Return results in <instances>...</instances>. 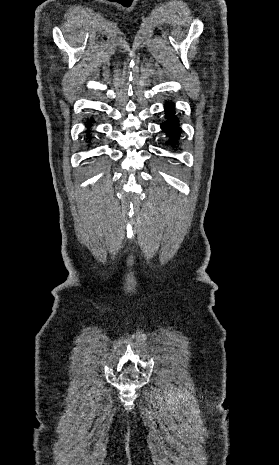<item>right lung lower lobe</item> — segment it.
Returning a JSON list of instances; mask_svg holds the SVG:
<instances>
[{
    "label": "right lung lower lobe",
    "instance_id": "1",
    "mask_svg": "<svg viewBox=\"0 0 279 465\" xmlns=\"http://www.w3.org/2000/svg\"><path fill=\"white\" fill-rule=\"evenodd\" d=\"M92 122H94V120H88V122H87V131H86V140L87 141L91 140V131L89 130V128L91 127Z\"/></svg>",
    "mask_w": 279,
    "mask_h": 465
}]
</instances>
